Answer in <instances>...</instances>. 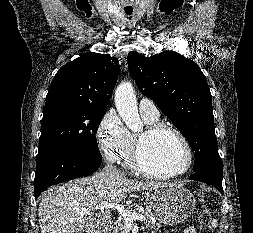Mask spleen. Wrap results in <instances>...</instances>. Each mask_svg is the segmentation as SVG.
Masks as SVG:
<instances>
[{
  "label": "spleen",
  "instance_id": "spleen-1",
  "mask_svg": "<svg viewBox=\"0 0 253 233\" xmlns=\"http://www.w3.org/2000/svg\"><path fill=\"white\" fill-rule=\"evenodd\" d=\"M211 225L214 228L217 227V225H218L217 220L216 219L212 220Z\"/></svg>",
  "mask_w": 253,
  "mask_h": 233
}]
</instances>
